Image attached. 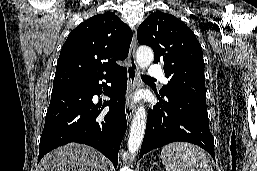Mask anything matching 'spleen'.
<instances>
[{"mask_svg": "<svg viewBox=\"0 0 257 171\" xmlns=\"http://www.w3.org/2000/svg\"><path fill=\"white\" fill-rule=\"evenodd\" d=\"M161 158L166 171H213L207 154L193 144L171 143L162 149Z\"/></svg>", "mask_w": 257, "mask_h": 171, "instance_id": "3e777b00", "label": "spleen"}]
</instances>
